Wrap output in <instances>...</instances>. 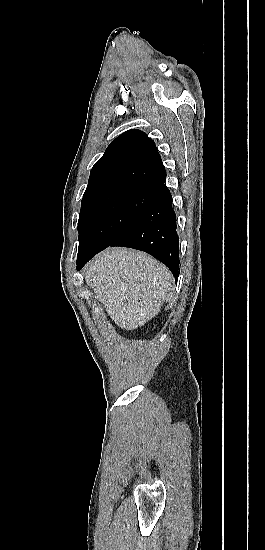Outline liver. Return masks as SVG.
<instances>
[{
    "mask_svg": "<svg viewBox=\"0 0 265 550\" xmlns=\"http://www.w3.org/2000/svg\"><path fill=\"white\" fill-rule=\"evenodd\" d=\"M85 281L115 324L134 330L158 314L173 277L150 255L108 248L89 262Z\"/></svg>",
    "mask_w": 265,
    "mask_h": 550,
    "instance_id": "6515ba94",
    "label": "liver"
}]
</instances>
